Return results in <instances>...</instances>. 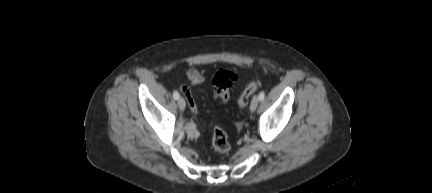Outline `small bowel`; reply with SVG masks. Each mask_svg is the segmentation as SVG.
Listing matches in <instances>:
<instances>
[{
	"label": "small bowel",
	"instance_id": "1",
	"mask_svg": "<svg viewBox=\"0 0 432 193\" xmlns=\"http://www.w3.org/2000/svg\"><path fill=\"white\" fill-rule=\"evenodd\" d=\"M187 79H188V81H189V83H190V85L192 87L198 86L204 80L202 74L197 69H194V68L188 70V72H187ZM182 91H183V93L187 97L190 109L193 112H196L197 111V104H196V102H195V100H194V98H193V96L191 94V91H190L189 87L186 86V85H183L182 86ZM236 127L240 128L239 125H237Z\"/></svg>",
	"mask_w": 432,
	"mask_h": 193
}]
</instances>
